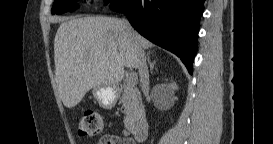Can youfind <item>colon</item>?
<instances>
[{
    "label": "colon",
    "instance_id": "colon-1",
    "mask_svg": "<svg viewBox=\"0 0 273 144\" xmlns=\"http://www.w3.org/2000/svg\"><path fill=\"white\" fill-rule=\"evenodd\" d=\"M102 131L103 121L100 114L93 109L85 110L78 124V134L81 137H95Z\"/></svg>",
    "mask_w": 273,
    "mask_h": 144
}]
</instances>
